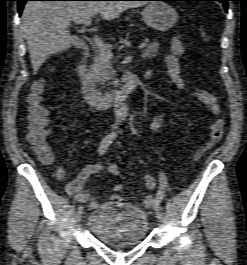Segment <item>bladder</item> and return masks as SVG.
I'll use <instances>...</instances> for the list:
<instances>
[{
	"label": "bladder",
	"mask_w": 247,
	"mask_h": 265,
	"mask_svg": "<svg viewBox=\"0 0 247 265\" xmlns=\"http://www.w3.org/2000/svg\"><path fill=\"white\" fill-rule=\"evenodd\" d=\"M87 227L99 242L122 248L143 242L149 221L147 214L137 206L105 202L90 213Z\"/></svg>",
	"instance_id": "obj_1"
}]
</instances>
